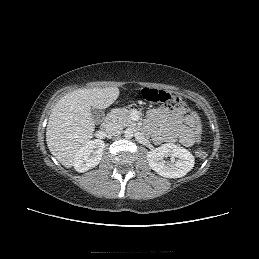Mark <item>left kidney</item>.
<instances>
[{
	"mask_svg": "<svg viewBox=\"0 0 259 259\" xmlns=\"http://www.w3.org/2000/svg\"><path fill=\"white\" fill-rule=\"evenodd\" d=\"M168 156L173 158L170 163L164 160ZM146 157L149 166L166 178L183 177L195 164L194 156L187 149L171 143L152 149Z\"/></svg>",
	"mask_w": 259,
	"mask_h": 259,
	"instance_id": "5707ae66",
	"label": "left kidney"
}]
</instances>
